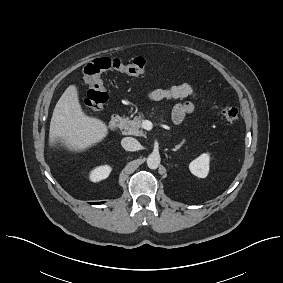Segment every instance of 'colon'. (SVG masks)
I'll list each match as a JSON object with an SVG mask.
<instances>
[{
	"label": "colon",
	"instance_id": "obj_1",
	"mask_svg": "<svg viewBox=\"0 0 283 283\" xmlns=\"http://www.w3.org/2000/svg\"><path fill=\"white\" fill-rule=\"evenodd\" d=\"M109 70L125 75L138 77L146 71V61L137 57L129 61L118 58L101 57L88 63L83 70L84 81L89 87L85 98L86 110L90 113L99 112L108 99L107 90L103 81V74ZM221 115L230 123L238 120V109L231 104L219 107Z\"/></svg>",
	"mask_w": 283,
	"mask_h": 283
}]
</instances>
